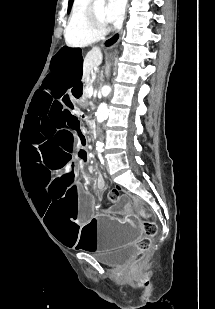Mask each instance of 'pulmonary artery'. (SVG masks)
Returning <instances> with one entry per match:
<instances>
[{"mask_svg": "<svg viewBox=\"0 0 215 309\" xmlns=\"http://www.w3.org/2000/svg\"><path fill=\"white\" fill-rule=\"evenodd\" d=\"M74 8H77L78 11H83L84 8H87V0H76L73 3Z\"/></svg>", "mask_w": 215, "mask_h": 309, "instance_id": "1", "label": "pulmonary artery"}]
</instances>
